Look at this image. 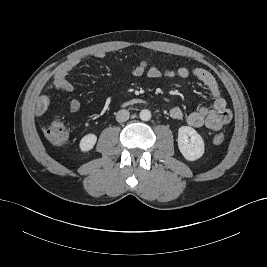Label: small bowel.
<instances>
[{
    "instance_id": "obj_1",
    "label": "small bowel",
    "mask_w": 267,
    "mask_h": 267,
    "mask_svg": "<svg viewBox=\"0 0 267 267\" xmlns=\"http://www.w3.org/2000/svg\"><path fill=\"white\" fill-rule=\"evenodd\" d=\"M95 56L97 58H103L105 53L97 52ZM79 62V59H72L59 68L53 77L50 87L62 92H71L73 90V85L69 81L68 76L79 65ZM150 68L153 69L150 70ZM130 73L134 77L147 75L150 78H159L162 76L187 78L189 76H193L201 82L211 95L213 104L212 108L201 107L186 116L185 119L187 124L192 127H206L210 130L217 131L223 125L229 123L232 118V113L227 107L226 100L221 95L215 77L206 69L194 68L190 70L188 68L181 67L176 70L168 69L164 72L160 69L154 68V66H149L147 60H142L138 65L132 68ZM49 104L50 98L43 95L36 106L37 115L44 114ZM69 107L71 112H77L81 107V103L79 100L73 99L71 100ZM170 116L175 120H180L184 117V112L180 107H173L170 110Z\"/></svg>"
}]
</instances>
